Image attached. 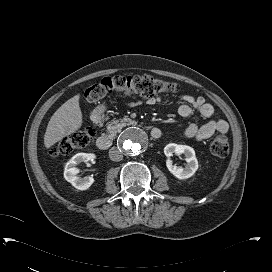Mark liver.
<instances>
[{
	"label": "liver",
	"mask_w": 272,
	"mask_h": 272,
	"mask_svg": "<svg viewBox=\"0 0 272 272\" xmlns=\"http://www.w3.org/2000/svg\"><path fill=\"white\" fill-rule=\"evenodd\" d=\"M79 98L80 95L77 94L67 100L50 118L44 135V145L47 149L82 126Z\"/></svg>",
	"instance_id": "6515ba94"
}]
</instances>
